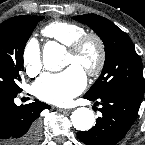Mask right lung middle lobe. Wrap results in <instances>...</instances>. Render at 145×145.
I'll use <instances>...</instances> for the list:
<instances>
[{"instance_id":"right-lung-middle-lobe-1","label":"right lung middle lobe","mask_w":145,"mask_h":145,"mask_svg":"<svg viewBox=\"0 0 145 145\" xmlns=\"http://www.w3.org/2000/svg\"><path fill=\"white\" fill-rule=\"evenodd\" d=\"M43 16L7 28H0V88L21 91L18 86L23 71V51L27 40Z\"/></svg>"}]
</instances>
